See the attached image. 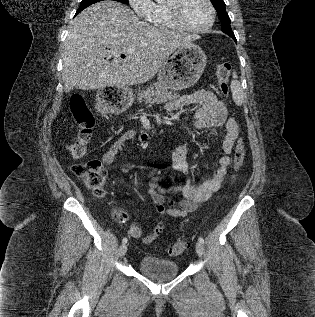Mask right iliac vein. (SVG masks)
<instances>
[{
    "label": "right iliac vein",
    "mask_w": 315,
    "mask_h": 317,
    "mask_svg": "<svg viewBox=\"0 0 315 317\" xmlns=\"http://www.w3.org/2000/svg\"><path fill=\"white\" fill-rule=\"evenodd\" d=\"M127 252V245L123 244L119 248V255L120 257H123Z\"/></svg>",
    "instance_id": "63e3f726"
}]
</instances>
